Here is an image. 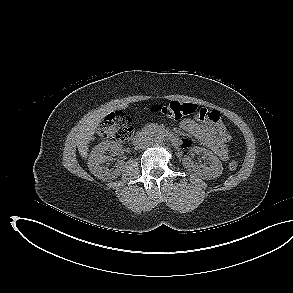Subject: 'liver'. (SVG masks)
<instances>
[{
  "mask_svg": "<svg viewBox=\"0 0 293 293\" xmlns=\"http://www.w3.org/2000/svg\"><path fill=\"white\" fill-rule=\"evenodd\" d=\"M127 104H122L113 108H101L94 111L89 116H86L82 119L81 125L78 127V131L75 135L76 144L79 151V154L83 158L88 157L89 151V142L92 139L95 130L99 126L102 119L113 110L123 109L127 107Z\"/></svg>",
  "mask_w": 293,
  "mask_h": 293,
  "instance_id": "liver-1",
  "label": "liver"
}]
</instances>
